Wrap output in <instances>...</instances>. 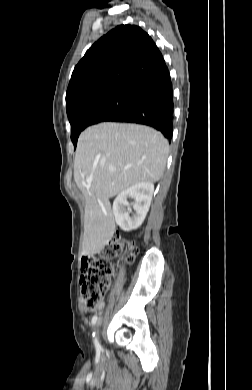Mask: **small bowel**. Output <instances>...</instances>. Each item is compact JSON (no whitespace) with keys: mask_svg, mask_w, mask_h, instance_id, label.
Returning a JSON list of instances; mask_svg holds the SVG:
<instances>
[{"mask_svg":"<svg viewBox=\"0 0 252 390\" xmlns=\"http://www.w3.org/2000/svg\"><path fill=\"white\" fill-rule=\"evenodd\" d=\"M104 307V303H100V305H99V308L101 309V308H103Z\"/></svg>","mask_w":252,"mask_h":390,"instance_id":"obj_1","label":"small bowel"}]
</instances>
